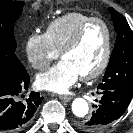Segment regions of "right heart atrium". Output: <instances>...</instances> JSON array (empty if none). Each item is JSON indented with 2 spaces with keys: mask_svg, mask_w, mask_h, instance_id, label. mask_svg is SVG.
I'll use <instances>...</instances> for the list:
<instances>
[{
  "mask_svg": "<svg viewBox=\"0 0 133 133\" xmlns=\"http://www.w3.org/2000/svg\"><path fill=\"white\" fill-rule=\"evenodd\" d=\"M27 58L34 69L45 70L58 58L59 52L52 46L45 33H33L26 42Z\"/></svg>",
  "mask_w": 133,
  "mask_h": 133,
  "instance_id": "right-heart-atrium-1",
  "label": "right heart atrium"
}]
</instances>
